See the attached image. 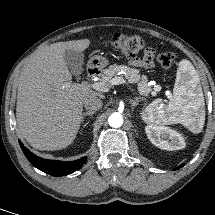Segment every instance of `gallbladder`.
I'll list each match as a JSON object with an SVG mask.
<instances>
[{
	"label": "gallbladder",
	"mask_w": 215,
	"mask_h": 215,
	"mask_svg": "<svg viewBox=\"0 0 215 215\" xmlns=\"http://www.w3.org/2000/svg\"><path fill=\"white\" fill-rule=\"evenodd\" d=\"M64 59L74 75H80L83 71L84 55L82 52L66 50Z\"/></svg>",
	"instance_id": "1"
}]
</instances>
